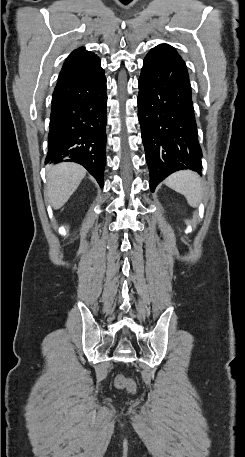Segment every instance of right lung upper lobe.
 I'll use <instances>...</instances> for the list:
<instances>
[{"mask_svg": "<svg viewBox=\"0 0 245 457\" xmlns=\"http://www.w3.org/2000/svg\"><path fill=\"white\" fill-rule=\"evenodd\" d=\"M101 68L100 59L84 47L74 50L65 60L59 74V80H65L91 73Z\"/></svg>", "mask_w": 245, "mask_h": 457, "instance_id": "obj_1", "label": "right lung upper lobe"}]
</instances>
